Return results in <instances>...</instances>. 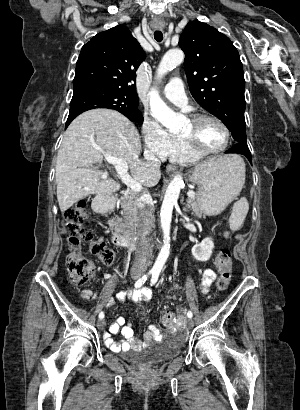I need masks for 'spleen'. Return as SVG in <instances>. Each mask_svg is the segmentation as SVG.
<instances>
[{"mask_svg": "<svg viewBox=\"0 0 300 410\" xmlns=\"http://www.w3.org/2000/svg\"><path fill=\"white\" fill-rule=\"evenodd\" d=\"M242 171L245 178V165H243ZM248 210L249 203L245 197H242L233 205V210L229 218V226L232 231H237L241 227Z\"/></svg>", "mask_w": 300, "mask_h": 410, "instance_id": "3e777b00", "label": "spleen"}]
</instances>
